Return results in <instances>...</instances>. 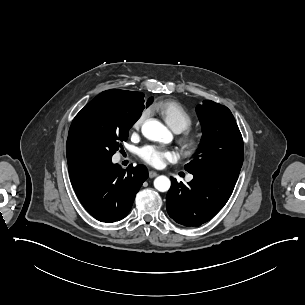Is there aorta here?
<instances>
[{"instance_id":"aorta-1","label":"aorta","mask_w":305,"mask_h":305,"mask_svg":"<svg viewBox=\"0 0 305 305\" xmlns=\"http://www.w3.org/2000/svg\"><path fill=\"white\" fill-rule=\"evenodd\" d=\"M142 134L152 141H164L169 138V130L158 120L149 119L142 125ZM171 182L167 176L161 175L155 178L154 187L160 192H167Z\"/></svg>"}]
</instances>
